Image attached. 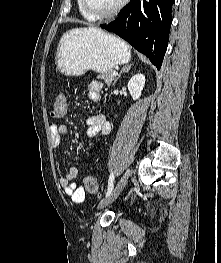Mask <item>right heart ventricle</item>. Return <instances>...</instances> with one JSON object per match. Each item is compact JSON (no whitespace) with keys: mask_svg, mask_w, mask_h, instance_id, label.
Masks as SVG:
<instances>
[{"mask_svg":"<svg viewBox=\"0 0 221 263\" xmlns=\"http://www.w3.org/2000/svg\"><path fill=\"white\" fill-rule=\"evenodd\" d=\"M77 6H78V10L81 13L82 16H84L86 19L88 20H92L91 18L88 17V15L84 12L82 6H81V2L80 0H77Z\"/></svg>","mask_w":221,"mask_h":263,"instance_id":"obj_1","label":"right heart ventricle"}]
</instances>
